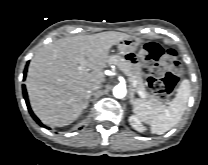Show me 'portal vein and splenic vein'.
Wrapping results in <instances>:
<instances>
[{"mask_svg": "<svg viewBox=\"0 0 208 165\" xmlns=\"http://www.w3.org/2000/svg\"><path fill=\"white\" fill-rule=\"evenodd\" d=\"M129 83L131 84V88H132V91L135 92V93H138L140 95V92L137 90V88L134 86L133 82L128 79Z\"/></svg>", "mask_w": 208, "mask_h": 165, "instance_id": "1", "label": "portal vein and splenic vein"}]
</instances>
